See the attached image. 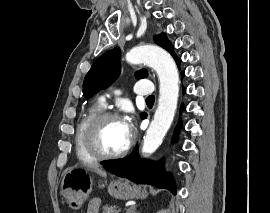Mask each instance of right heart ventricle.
<instances>
[{
	"label": "right heart ventricle",
	"mask_w": 270,
	"mask_h": 213,
	"mask_svg": "<svg viewBox=\"0 0 270 213\" xmlns=\"http://www.w3.org/2000/svg\"><path fill=\"white\" fill-rule=\"evenodd\" d=\"M101 111L99 104L91 106L80 117L75 133V151L77 158L84 163H94L97 159L85 147V132L91 120Z\"/></svg>",
	"instance_id": "1"
}]
</instances>
